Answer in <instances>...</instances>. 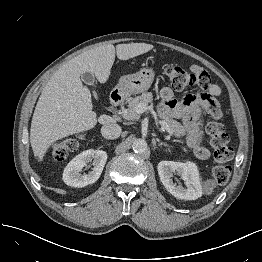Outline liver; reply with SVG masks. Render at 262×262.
Here are the masks:
<instances>
[{
  "mask_svg": "<svg viewBox=\"0 0 262 262\" xmlns=\"http://www.w3.org/2000/svg\"><path fill=\"white\" fill-rule=\"evenodd\" d=\"M152 44L129 43L103 45L74 57L47 82L39 97L32 118L30 143L35 157L42 161L46 151L55 141L84 132L116 120L108 115L97 119L89 89L83 85L80 76L85 72L95 74L100 83H105L115 61L142 55L153 49Z\"/></svg>",
  "mask_w": 262,
  "mask_h": 262,
  "instance_id": "obj_1",
  "label": "liver"
}]
</instances>
